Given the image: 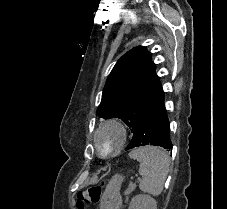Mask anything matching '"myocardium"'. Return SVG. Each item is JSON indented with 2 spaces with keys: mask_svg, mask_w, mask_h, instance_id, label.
I'll return each instance as SVG.
<instances>
[{
  "mask_svg": "<svg viewBox=\"0 0 227 209\" xmlns=\"http://www.w3.org/2000/svg\"><path fill=\"white\" fill-rule=\"evenodd\" d=\"M108 126H113L118 130L120 139H119V143L115 149L110 150L107 153H102L97 147L96 138H97V135L99 134V132L103 128L108 127ZM127 139H128V130H127L126 125L118 118L109 117V118L102 119L97 124V126L95 127V129L92 132L91 143L98 156H100L102 158H108V157L118 154L123 149L124 145L127 142Z\"/></svg>",
  "mask_w": 227,
  "mask_h": 209,
  "instance_id": "1",
  "label": "myocardium"
}]
</instances>
